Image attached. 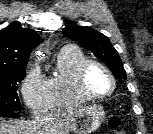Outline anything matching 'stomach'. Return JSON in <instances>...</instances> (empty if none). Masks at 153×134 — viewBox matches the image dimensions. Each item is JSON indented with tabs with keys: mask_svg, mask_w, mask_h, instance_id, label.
Instances as JSON below:
<instances>
[{
	"mask_svg": "<svg viewBox=\"0 0 153 134\" xmlns=\"http://www.w3.org/2000/svg\"><path fill=\"white\" fill-rule=\"evenodd\" d=\"M105 112L102 107L88 106L81 108L72 122L70 130L74 134H91L104 121Z\"/></svg>",
	"mask_w": 153,
	"mask_h": 134,
	"instance_id": "0dacf381",
	"label": "stomach"
}]
</instances>
